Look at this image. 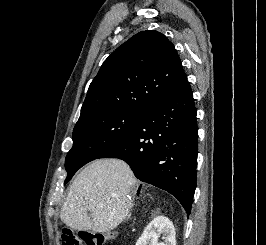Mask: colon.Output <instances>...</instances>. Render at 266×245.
<instances>
[{
	"label": "colon",
	"mask_w": 266,
	"mask_h": 245,
	"mask_svg": "<svg viewBox=\"0 0 266 245\" xmlns=\"http://www.w3.org/2000/svg\"><path fill=\"white\" fill-rule=\"evenodd\" d=\"M106 236L103 233H91L87 231L74 232L63 229L60 234V245H103Z\"/></svg>",
	"instance_id": "1"
}]
</instances>
